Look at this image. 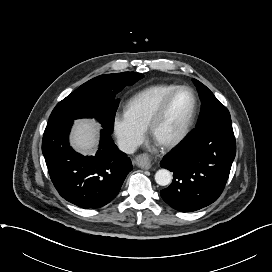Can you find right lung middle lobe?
<instances>
[{"mask_svg":"<svg viewBox=\"0 0 272 272\" xmlns=\"http://www.w3.org/2000/svg\"><path fill=\"white\" fill-rule=\"evenodd\" d=\"M141 78L143 74L123 72L100 75L89 80L56 105L47 126L67 120L94 117L105 130L112 133L120 101L116 98L117 94Z\"/></svg>","mask_w":272,"mask_h":272,"instance_id":"right-lung-middle-lobe-1","label":"right lung middle lobe"}]
</instances>
